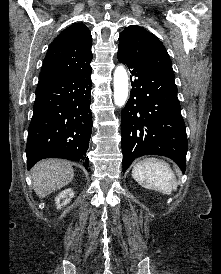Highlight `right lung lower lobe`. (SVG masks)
I'll use <instances>...</instances> for the list:
<instances>
[{"instance_id": "1", "label": "right lung lower lobe", "mask_w": 221, "mask_h": 274, "mask_svg": "<svg viewBox=\"0 0 221 274\" xmlns=\"http://www.w3.org/2000/svg\"><path fill=\"white\" fill-rule=\"evenodd\" d=\"M91 73L88 69L36 89L26 145L28 169L45 158L78 161L88 168Z\"/></svg>"}]
</instances>
